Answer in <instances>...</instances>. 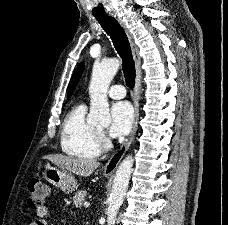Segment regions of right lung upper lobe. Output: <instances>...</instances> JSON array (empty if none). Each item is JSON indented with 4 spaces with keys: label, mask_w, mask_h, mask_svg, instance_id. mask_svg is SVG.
Wrapping results in <instances>:
<instances>
[{
    "label": "right lung upper lobe",
    "mask_w": 228,
    "mask_h": 225,
    "mask_svg": "<svg viewBox=\"0 0 228 225\" xmlns=\"http://www.w3.org/2000/svg\"><path fill=\"white\" fill-rule=\"evenodd\" d=\"M83 70H84V64L81 63V64L78 66V68H77L76 77H75V80H74V82H73V85H72V87H71V89H70V91H69V93H68V98L71 96V94L73 93L75 87L77 86V83H78V81L80 80V77H81V74H82Z\"/></svg>",
    "instance_id": "1"
}]
</instances>
